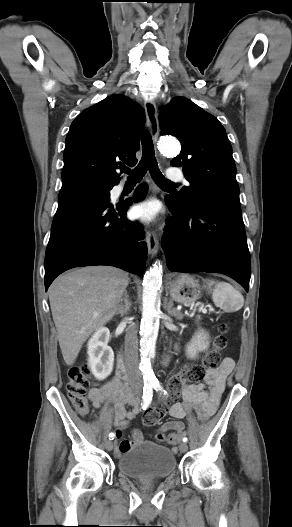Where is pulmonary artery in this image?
Masks as SVG:
<instances>
[{
	"label": "pulmonary artery",
	"instance_id": "pulmonary-artery-1",
	"mask_svg": "<svg viewBox=\"0 0 292 527\" xmlns=\"http://www.w3.org/2000/svg\"><path fill=\"white\" fill-rule=\"evenodd\" d=\"M167 178L171 181H183L184 183H187L182 172L177 168H169L167 170Z\"/></svg>",
	"mask_w": 292,
	"mask_h": 527
}]
</instances>
